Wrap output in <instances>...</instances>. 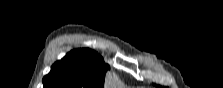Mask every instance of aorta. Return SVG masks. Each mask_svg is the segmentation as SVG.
Here are the masks:
<instances>
[{
	"instance_id": "762f6f07",
	"label": "aorta",
	"mask_w": 223,
	"mask_h": 88,
	"mask_svg": "<svg viewBox=\"0 0 223 88\" xmlns=\"http://www.w3.org/2000/svg\"><path fill=\"white\" fill-rule=\"evenodd\" d=\"M107 83H108V86H115L116 84V78L111 76V75H108L107 77Z\"/></svg>"
}]
</instances>
